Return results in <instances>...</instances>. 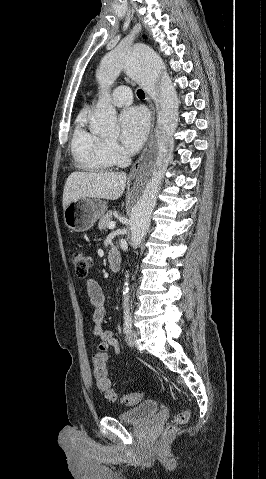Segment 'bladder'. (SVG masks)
Here are the masks:
<instances>
[{
    "label": "bladder",
    "mask_w": 266,
    "mask_h": 479,
    "mask_svg": "<svg viewBox=\"0 0 266 479\" xmlns=\"http://www.w3.org/2000/svg\"><path fill=\"white\" fill-rule=\"evenodd\" d=\"M159 411V405L154 401H144L133 408L116 414V418L124 423L143 424Z\"/></svg>",
    "instance_id": "obj_1"
}]
</instances>
